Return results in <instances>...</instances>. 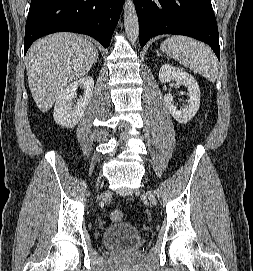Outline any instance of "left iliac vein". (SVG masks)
Listing matches in <instances>:
<instances>
[{
    "label": "left iliac vein",
    "mask_w": 253,
    "mask_h": 271,
    "mask_svg": "<svg viewBox=\"0 0 253 271\" xmlns=\"http://www.w3.org/2000/svg\"><path fill=\"white\" fill-rule=\"evenodd\" d=\"M149 196L151 197V196H152V194H151V193H149Z\"/></svg>",
    "instance_id": "obj_1"
}]
</instances>
